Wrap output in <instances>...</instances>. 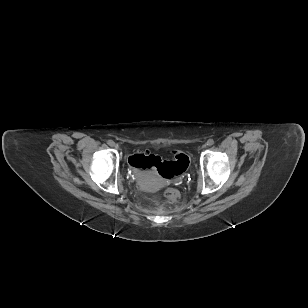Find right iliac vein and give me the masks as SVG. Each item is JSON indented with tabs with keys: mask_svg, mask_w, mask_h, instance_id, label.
<instances>
[{
	"mask_svg": "<svg viewBox=\"0 0 308 308\" xmlns=\"http://www.w3.org/2000/svg\"><path fill=\"white\" fill-rule=\"evenodd\" d=\"M112 147H114V148H116V149H118V148H119V147H118V145H117V144H115V143L112 145Z\"/></svg>",
	"mask_w": 308,
	"mask_h": 308,
	"instance_id": "obj_1",
	"label": "right iliac vein"
}]
</instances>
